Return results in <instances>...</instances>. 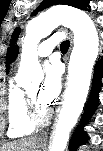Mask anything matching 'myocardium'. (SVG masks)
<instances>
[{
	"label": "myocardium",
	"instance_id": "1",
	"mask_svg": "<svg viewBox=\"0 0 103 151\" xmlns=\"http://www.w3.org/2000/svg\"><path fill=\"white\" fill-rule=\"evenodd\" d=\"M26 102L27 114L30 122L34 126H43L47 124L51 116V111L47 109L44 113H40L37 104L28 92H26Z\"/></svg>",
	"mask_w": 103,
	"mask_h": 151
}]
</instances>
